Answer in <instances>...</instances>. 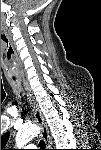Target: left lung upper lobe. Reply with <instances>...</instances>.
<instances>
[{"label": "left lung upper lobe", "mask_w": 101, "mask_h": 150, "mask_svg": "<svg viewBox=\"0 0 101 150\" xmlns=\"http://www.w3.org/2000/svg\"><path fill=\"white\" fill-rule=\"evenodd\" d=\"M9 139V133H5L2 137H1V147H4L5 144L7 143Z\"/></svg>", "instance_id": "5c2ea615"}]
</instances>
